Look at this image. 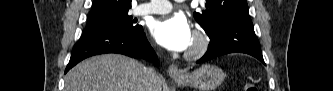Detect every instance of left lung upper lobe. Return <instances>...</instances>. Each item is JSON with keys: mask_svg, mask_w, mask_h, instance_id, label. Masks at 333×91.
Instances as JSON below:
<instances>
[{"mask_svg": "<svg viewBox=\"0 0 333 91\" xmlns=\"http://www.w3.org/2000/svg\"><path fill=\"white\" fill-rule=\"evenodd\" d=\"M206 2V10L202 13L194 12L193 15L208 36L229 20L250 17L246 0H206Z\"/></svg>", "mask_w": 333, "mask_h": 91, "instance_id": "left-lung-upper-lobe-1", "label": "left lung upper lobe"}]
</instances>
